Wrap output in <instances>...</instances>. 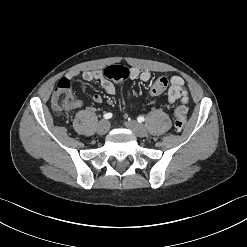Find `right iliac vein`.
<instances>
[{
  "mask_svg": "<svg viewBox=\"0 0 247 247\" xmlns=\"http://www.w3.org/2000/svg\"><path fill=\"white\" fill-rule=\"evenodd\" d=\"M110 123L107 120H101L97 124V133L100 135H104L109 131Z\"/></svg>",
  "mask_w": 247,
  "mask_h": 247,
  "instance_id": "1",
  "label": "right iliac vein"
}]
</instances>
